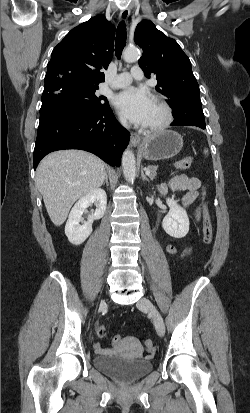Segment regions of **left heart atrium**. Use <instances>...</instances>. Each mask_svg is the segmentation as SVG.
<instances>
[{
  "label": "left heart atrium",
  "instance_id": "39dd6f15",
  "mask_svg": "<svg viewBox=\"0 0 250 413\" xmlns=\"http://www.w3.org/2000/svg\"><path fill=\"white\" fill-rule=\"evenodd\" d=\"M153 99L145 90L129 87L114 99L115 107L130 121L139 125L148 122Z\"/></svg>",
  "mask_w": 250,
  "mask_h": 413
}]
</instances>
